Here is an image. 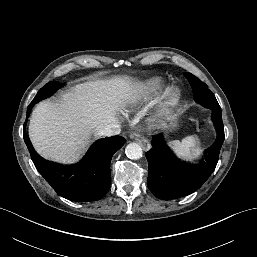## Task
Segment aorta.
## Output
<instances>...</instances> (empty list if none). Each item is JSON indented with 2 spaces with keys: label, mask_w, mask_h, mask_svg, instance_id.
I'll list each match as a JSON object with an SVG mask.
<instances>
[{
  "label": "aorta",
  "mask_w": 257,
  "mask_h": 257,
  "mask_svg": "<svg viewBox=\"0 0 257 257\" xmlns=\"http://www.w3.org/2000/svg\"><path fill=\"white\" fill-rule=\"evenodd\" d=\"M126 156L132 160H138L142 157L143 151L139 144L130 143L125 148Z\"/></svg>",
  "instance_id": "1"
}]
</instances>
